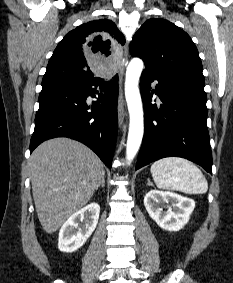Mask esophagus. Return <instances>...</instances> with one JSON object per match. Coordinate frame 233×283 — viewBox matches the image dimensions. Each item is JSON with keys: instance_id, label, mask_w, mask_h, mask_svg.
Masks as SVG:
<instances>
[{"instance_id": "obj_1", "label": "esophagus", "mask_w": 233, "mask_h": 283, "mask_svg": "<svg viewBox=\"0 0 233 283\" xmlns=\"http://www.w3.org/2000/svg\"><path fill=\"white\" fill-rule=\"evenodd\" d=\"M127 56L128 51L125 50V59L123 60V67L127 64ZM122 78H123V71L120 72V93H119V101H118V123L119 126L123 124L124 121V105H123V97H122V90H121V84H122Z\"/></svg>"}]
</instances>
